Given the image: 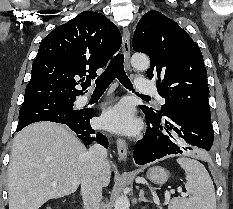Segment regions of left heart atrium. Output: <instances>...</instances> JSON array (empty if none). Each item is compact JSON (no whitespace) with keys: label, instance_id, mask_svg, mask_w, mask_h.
<instances>
[{"label":"left heart atrium","instance_id":"39dd6f15","mask_svg":"<svg viewBox=\"0 0 233 209\" xmlns=\"http://www.w3.org/2000/svg\"><path fill=\"white\" fill-rule=\"evenodd\" d=\"M100 124L104 128L122 133H132L137 129L132 109L125 103H120L105 111L101 116Z\"/></svg>","mask_w":233,"mask_h":209}]
</instances>
